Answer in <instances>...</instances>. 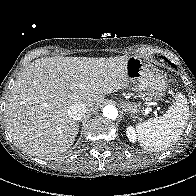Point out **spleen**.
Wrapping results in <instances>:
<instances>
[{
    "mask_svg": "<svg viewBox=\"0 0 196 196\" xmlns=\"http://www.w3.org/2000/svg\"><path fill=\"white\" fill-rule=\"evenodd\" d=\"M176 102L160 117L140 122L137 132L141 146L149 151H159L170 146L182 135L189 118L187 99L181 93Z\"/></svg>",
    "mask_w": 196,
    "mask_h": 196,
    "instance_id": "obj_1",
    "label": "spleen"
}]
</instances>
